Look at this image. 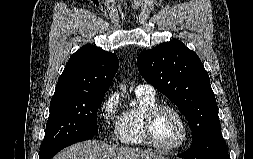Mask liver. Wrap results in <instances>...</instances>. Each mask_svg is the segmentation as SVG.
I'll list each match as a JSON object with an SVG mask.
<instances>
[{
	"instance_id": "liver-1",
	"label": "liver",
	"mask_w": 253,
	"mask_h": 159,
	"mask_svg": "<svg viewBox=\"0 0 253 159\" xmlns=\"http://www.w3.org/2000/svg\"><path fill=\"white\" fill-rule=\"evenodd\" d=\"M52 159H167L150 150L109 146L96 140L71 145Z\"/></svg>"
}]
</instances>
